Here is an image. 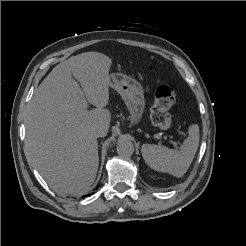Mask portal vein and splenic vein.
I'll use <instances>...</instances> for the list:
<instances>
[{
	"label": "portal vein and splenic vein",
	"instance_id": "obj_1",
	"mask_svg": "<svg viewBox=\"0 0 246 246\" xmlns=\"http://www.w3.org/2000/svg\"><path fill=\"white\" fill-rule=\"evenodd\" d=\"M80 95L83 96V92H80ZM83 105L84 107H87V102L85 100H83Z\"/></svg>",
	"mask_w": 246,
	"mask_h": 246
}]
</instances>
